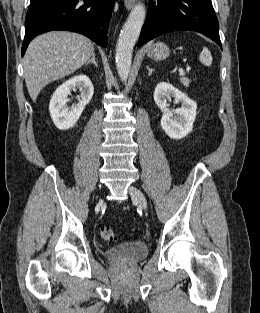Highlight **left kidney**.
Wrapping results in <instances>:
<instances>
[{
    "instance_id": "obj_1",
    "label": "left kidney",
    "mask_w": 260,
    "mask_h": 313,
    "mask_svg": "<svg viewBox=\"0 0 260 313\" xmlns=\"http://www.w3.org/2000/svg\"><path fill=\"white\" fill-rule=\"evenodd\" d=\"M174 97L181 107L176 110L168 108L167 101ZM154 101L163 112L161 126L172 139H182L193 129L196 118L197 104L187 95L169 83H159L154 91Z\"/></svg>"
}]
</instances>
